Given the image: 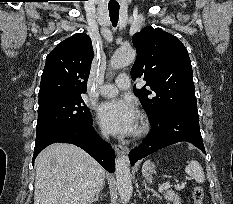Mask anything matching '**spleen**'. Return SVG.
Segmentation results:
<instances>
[{"instance_id": "1", "label": "spleen", "mask_w": 233, "mask_h": 204, "mask_svg": "<svg viewBox=\"0 0 233 204\" xmlns=\"http://www.w3.org/2000/svg\"><path fill=\"white\" fill-rule=\"evenodd\" d=\"M187 163L188 165L185 168V172L194 178L197 183H204L205 175L200 163L196 160H190ZM149 164L150 160L143 164L142 172L146 180L152 183V178L149 177V174L147 173Z\"/></svg>"}]
</instances>
